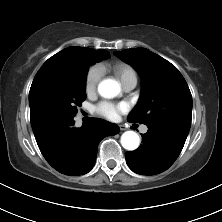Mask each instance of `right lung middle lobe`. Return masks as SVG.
Here are the masks:
<instances>
[{
  "mask_svg": "<svg viewBox=\"0 0 222 222\" xmlns=\"http://www.w3.org/2000/svg\"><path fill=\"white\" fill-rule=\"evenodd\" d=\"M101 59L93 53H77L42 67L29 93L32 127L53 117H74L85 100L88 68Z\"/></svg>",
  "mask_w": 222,
  "mask_h": 222,
  "instance_id": "1",
  "label": "right lung middle lobe"
}]
</instances>
